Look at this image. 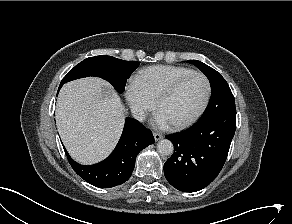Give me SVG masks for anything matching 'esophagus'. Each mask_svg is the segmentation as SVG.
<instances>
[{"label":"esophagus","mask_w":292,"mask_h":224,"mask_svg":"<svg viewBox=\"0 0 292 224\" xmlns=\"http://www.w3.org/2000/svg\"><path fill=\"white\" fill-rule=\"evenodd\" d=\"M153 137L155 141H159L160 139L163 138V135L160 133L153 132Z\"/></svg>","instance_id":"34e87169"}]
</instances>
